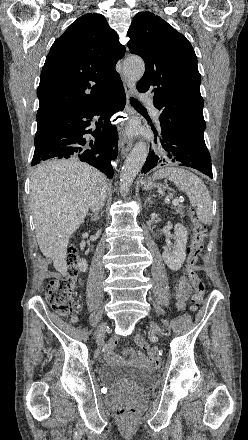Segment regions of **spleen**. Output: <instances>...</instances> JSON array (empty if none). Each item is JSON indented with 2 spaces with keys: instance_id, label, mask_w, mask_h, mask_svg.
I'll return each mask as SVG.
<instances>
[{
  "instance_id": "1",
  "label": "spleen",
  "mask_w": 248,
  "mask_h": 440,
  "mask_svg": "<svg viewBox=\"0 0 248 440\" xmlns=\"http://www.w3.org/2000/svg\"><path fill=\"white\" fill-rule=\"evenodd\" d=\"M167 178L185 192L196 209L198 219L205 225H211L212 200L203 181L195 174L177 167L159 169L153 174V179Z\"/></svg>"
}]
</instances>
